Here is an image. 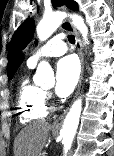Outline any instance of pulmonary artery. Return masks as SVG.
<instances>
[{
  "mask_svg": "<svg viewBox=\"0 0 114 156\" xmlns=\"http://www.w3.org/2000/svg\"><path fill=\"white\" fill-rule=\"evenodd\" d=\"M67 47L62 35L50 39L45 45L37 49L28 59V64L35 66L40 60L48 57H58L65 54Z\"/></svg>",
  "mask_w": 114,
  "mask_h": 156,
  "instance_id": "e3ab8cb5",
  "label": "pulmonary artery"
}]
</instances>
